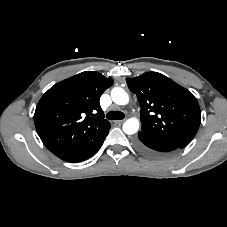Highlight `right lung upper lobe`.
Returning <instances> with one entry per match:
<instances>
[{
    "mask_svg": "<svg viewBox=\"0 0 227 227\" xmlns=\"http://www.w3.org/2000/svg\"><path fill=\"white\" fill-rule=\"evenodd\" d=\"M113 79L85 71L52 86L40 99L34 114L44 145L62 158L92 146L110 129L99 99Z\"/></svg>",
    "mask_w": 227,
    "mask_h": 227,
    "instance_id": "right-lung-upper-lobe-1",
    "label": "right lung upper lobe"
}]
</instances>
